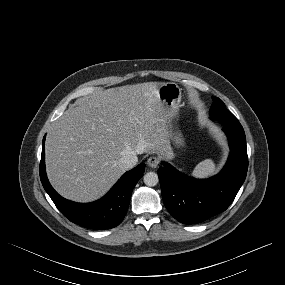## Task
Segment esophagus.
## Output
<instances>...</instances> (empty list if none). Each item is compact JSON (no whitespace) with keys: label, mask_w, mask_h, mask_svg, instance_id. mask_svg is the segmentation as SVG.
Returning a JSON list of instances; mask_svg holds the SVG:
<instances>
[{"label":"esophagus","mask_w":285,"mask_h":285,"mask_svg":"<svg viewBox=\"0 0 285 285\" xmlns=\"http://www.w3.org/2000/svg\"><path fill=\"white\" fill-rule=\"evenodd\" d=\"M159 163H160V160H159V158L156 157V156H151V157L147 160V164H148V166L151 167V168H156V167H158Z\"/></svg>","instance_id":"esophagus-1"}]
</instances>
